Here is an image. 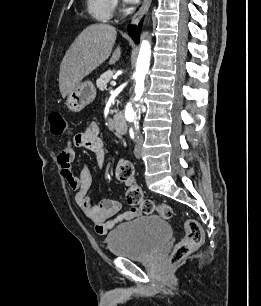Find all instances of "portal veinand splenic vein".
Masks as SVG:
<instances>
[{"mask_svg": "<svg viewBox=\"0 0 261 306\" xmlns=\"http://www.w3.org/2000/svg\"><path fill=\"white\" fill-rule=\"evenodd\" d=\"M111 85H112V86H115V85H116V82H115V81H112V82H111Z\"/></svg>", "mask_w": 261, "mask_h": 306, "instance_id": "1", "label": "portal vein and splenic vein"}]
</instances>
